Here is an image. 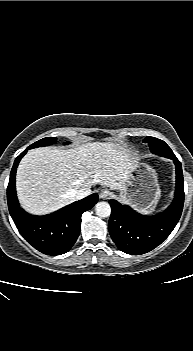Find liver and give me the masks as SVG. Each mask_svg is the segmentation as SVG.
Listing matches in <instances>:
<instances>
[{"label":"liver","mask_w":193,"mask_h":351,"mask_svg":"<svg viewBox=\"0 0 193 351\" xmlns=\"http://www.w3.org/2000/svg\"><path fill=\"white\" fill-rule=\"evenodd\" d=\"M126 150L107 142L71 149L42 147L28 151L16 175L19 201L24 209L41 215L76 200L75 191L100 184L125 190L132 170Z\"/></svg>","instance_id":"liver-1"}]
</instances>
